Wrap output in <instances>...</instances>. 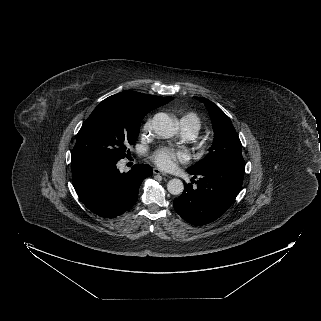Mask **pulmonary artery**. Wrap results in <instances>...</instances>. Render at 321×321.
I'll return each mask as SVG.
<instances>
[{"instance_id": "e3ab8cb5", "label": "pulmonary artery", "mask_w": 321, "mask_h": 321, "mask_svg": "<svg viewBox=\"0 0 321 321\" xmlns=\"http://www.w3.org/2000/svg\"><path fill=\"white\" fill-rule=\"evenodd\" d=\"M183 135L185 138H193L196 135V131L190 127L182 126Z\"/></svg>"}]
</instances>
